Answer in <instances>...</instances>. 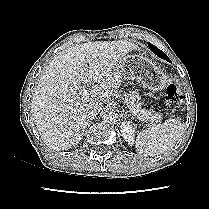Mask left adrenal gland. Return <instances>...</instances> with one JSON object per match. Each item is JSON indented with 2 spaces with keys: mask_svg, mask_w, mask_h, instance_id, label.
Wrapping results in <instances>:
<instances>
[{
  "mask_svg": "<svg viewBox=\"0 0 209 209\" xmlns=\"http://www.w3.org/2000/svg\"><path fill=\"white\" fill-rule=\"evenodd\" d=\"M127 115H128V112L126 111V112H125V117H126Z\"/></svg>",
  "mask_w": 209,
  "mask_h": 209,
  "instance_id": "1",
  "label": "left adrenal gland"
}]
</instances>
